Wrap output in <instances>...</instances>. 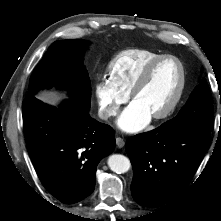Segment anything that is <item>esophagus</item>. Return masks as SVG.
Returning <instances> with one entry per match:
<instances>
[{"label":"esophagus","mask_w":221,"mask_h":221,"mask_svg":"<svg viewBox=\"0 0 221 221\" xmlns=\"http://www.w3.org/2000/svg\"><path fill=\"white\" fill-rule=\"evenodd\" d=\"M116 145H117L119 148H122V147H124L125 142H124V140H123L122 138L117 137V138H116Z\"/></svg>","instance_id":"obj_1"}]
</instances>
